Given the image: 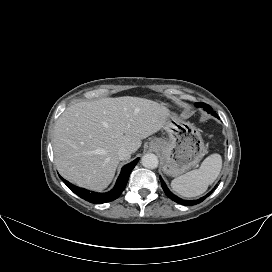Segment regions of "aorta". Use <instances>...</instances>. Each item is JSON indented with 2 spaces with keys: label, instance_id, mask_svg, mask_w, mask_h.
Listing matches in <instances>:
<instances>
[{
  "label": "aorta",
  "instance_id": "762f6f07",
  "mask_svg": "<svg viewBox=\"0 0 272 272\" xmlns=\"http://www.w3.org/2000/svg\"><path fill=\"white\" fill-rule=\"evenodd\" d=\"M158 158L152 153L143 155L141 158V164L148 169H155L158 166Z\"/></svg>",
  "mask_w": 272,
  "mask_h": 272
}]
</instances>
